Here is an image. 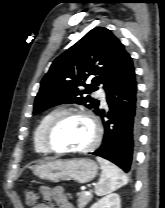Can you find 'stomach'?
Wrapping results in <instances>:
<instances>
[{
  "instance_id": "0dacf381",
  "label": "stomach",
  "mask_w": 165,
  "mask_h": 208,
  "mask_svg": "<svg viewBox=\"0 0 165 208\" xmlns=\"http://www.w3.org/2000/svg\"><path fill=\"white\" fill-rule=\"evenodd\" d=\"M98 171V165L91 159H54L43 162L33 168L34 175L53 182L74 180L84 184L92 181Z\"/></svg>"
}]
</instances>
